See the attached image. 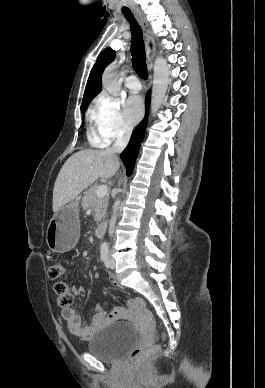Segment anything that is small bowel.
I'll use <instances>...</instances> for the list:
<instances>
[{
  "label": "small bowel",
  "instance_id": "c3829d8e",
  "mask_svg": "<svg viewBox=\"0 0 265 388\" xmlns=\"http://www.w3.org/2000/svg\"><path fill=\"white\" fill-rule=\"evenodd\" d=\"M108 279L109 283L113 287H120L113 275H109ZM72 290L74 295L79 297H83L85 294V290L81 286L74 285L72 286ZM61 315L66 322L69 332L81 339L86 340L94 336V334L103 326L109 324L112 321L120 319L123 313L121 311H115L107 314L103 309V305L99 304L97 306L96 313L89 321L83 320L72 308H64Z\"/></svg>",
  "mask_w": 265,
  "mask_h": 388
}]
</instances>
